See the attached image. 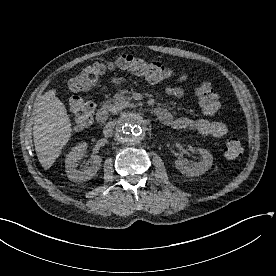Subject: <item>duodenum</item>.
I'll return each instance as SVG.
<instances>
[{
  "mask_svg": "<svg viewBox=\"0 0 276 276\" xmlns=\"http://www.w3.org/2000/svg\"><path fill=\"white\" fill-rule=\"evenodd\" d=\"M155 114L162 122L167 118V113L163 109H155ZM110 114L106 108H100L96 113V121L99 124H105L109 120Z\"/></svg>",
  "mask_w": 276,
  "mask_h": 276,
  "instance_id": "obj_1",
  "label": "duodenum"
}]
</instances>
